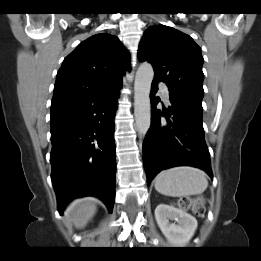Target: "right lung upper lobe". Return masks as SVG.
<instances>
[{
    "instance_id": "cb5924a9",
    "label": "right lung upper lobe",
    "mask_w": 261,
    "mask_h": 261,
    "mask_svg": "<svg viewBox=\"0 0 261 261\" xmlns=\"http://www.w3.org/2000/svg\"><path fill=\"white\" fill-rule=\"evenodd\" d=\"M129 62L130 55L117 37L107 33L89 37L63 61L52 104L120 88Z\"/></svg>"
}]
</instances>
